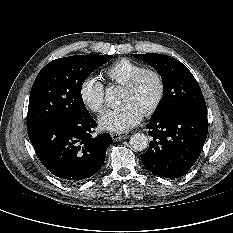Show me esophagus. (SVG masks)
Listing matches in <instances>:
<instances>
[{
    "label": "esophagus",
    "instance_id": "obj_1",
    "mask_svg": "<svg viewBox=\"0 0 233 233\" xmlns=\"http://www.w3.org/2000/svg\"><path fill=\"white\" fill-rule=\"evenodd\" d=\"M111 137H112L113 141H120L123 138L124 139L127 138V135H120V134H117V133H112Z\"/></svg>",
    "mask_w": 233,
    "mask_h": 233
}]
</instances>
